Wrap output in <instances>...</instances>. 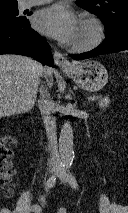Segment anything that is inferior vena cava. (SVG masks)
Returning <instances> with one entry per match:
<instances>
[{"instance_id":"602c4592","label":"inferior vena cava","mask_w":128,"mask_h":213,"mask_svg":"<svg viewBox=\"0 0 128 213\" xmlns=\"http://www.w3.org/2000/svg\"><path fill=\"white\" fill-rule=\"evenodd\" d=\"M45 73L46 68L43 69V75H45ZM38 104L50 147L49 163L52 167L58 168L61 166V161L57 146L55 118L52 116L54 112V102L51 100L50 95L43 86L40 88V100L38 101Z\"/></svg>"}]
</instances>
